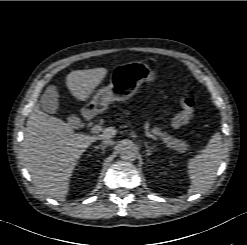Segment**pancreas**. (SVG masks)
Instances as JSON below:
<instances>
[{
	"label": "pancreas",
	"mask_w": 247,
	"mask_h": 245,
	"mask_svg": "<svg viewBox=\"0 0 247 245\" xmlns=\"http://www.w3.org/2000/svg\"><path fill=\"white\" fill-rule=\"evenodd\" d=\"M152 132L155 136L159 137L164 143H166L169 148L180 153H184L188 150L189 145L185 141L176 139L167 132H163L160 128L154 127Z\"/></svg>",
	"instance_id": "1"
}]
</instances>
